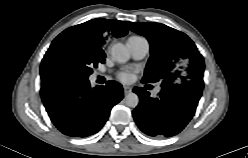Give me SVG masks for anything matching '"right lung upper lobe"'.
<instances>
[{"label": "right lung upper lobe", "mask_w": 248, "mask_h": 158, "mask_svg": "<svg viewBox=\"0 0 248 158\" xmlns=\"http://www.w3.org/2000/svg\"><path fill=\"white\" fill-rule=\"evenodd\" d=\"M127 31L128 29L122 21L97 18L64 30L54 41L71 39L90 50L104 54L101 46L105 41V36L109 33L116 38L123 37ZM40 74L41 90L59 84L46 73L42 64Z\"/></svg>", "instance_id": "cb5924a9"}]
</instances>
